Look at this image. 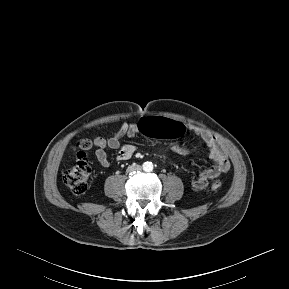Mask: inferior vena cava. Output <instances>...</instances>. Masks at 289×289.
<instances>
[{
    "instance_id": "obj_1",
    "label": "inferior vena cava",
    "mask_w": 289,
    "mask_h": 289,
    "mask_svg": "<svg viewBox=\"0 0 289 289\" xmlns=\"http://www.w3.org/2000/svg\"><path fill=\"white\" fill-rule=\"evenodd\" d=\"M139 170H141V166H140V165H137V164L130 165V166L127 168V171H128V172L139 171Z\"/></svg>"
}]
</instances>
